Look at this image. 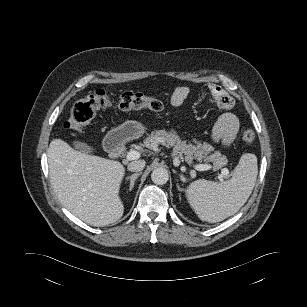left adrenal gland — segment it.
Masks as SVG:
<instances>
[{"instance_id":"a2214340","label":"left adrenal gland","mask_w":307,"mask_h":307,"mask_svg":"<svg viewBox=\"0 0 307 307\" xmlns=\"http://www.w3.org/2000/svg\"><path fill=\"white\" fill-rule=\"evenodd\" d=\"M177 188H178L179 191H182V189L180 188V186L178 185V183H177Z\"/></svg>"}]
</instances>
